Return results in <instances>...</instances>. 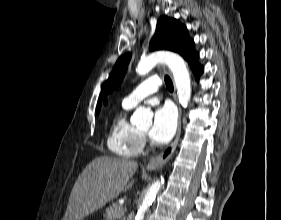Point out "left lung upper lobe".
Segmentation results:
<instances>
[{
  "instance_id": "5c2ea615",
  "label": "left lung upper lobe",
  "mask_w": 281,
  "mask_h": 220,
  "mask_svg": "<svg viewBox=\"0 0 281 220\" xmlns=\"http://www.w3.org/2000/svg\"><path fill=\"white\" fill-rule=\"evenodd\" d=\"M193 45L194 42L188 37L187 29L184 25L180 24L176 19L162 16L157 21L156 31L150 41L149 50L154 51L164 49L177 52L189 62L198 55L194 51ZM130 57V54H126L117 60L112 73L103 85L97 105V113L100 111L103 95L111 92L121 83Z\"/></svg>"
}]
</instances>
